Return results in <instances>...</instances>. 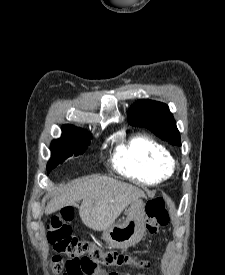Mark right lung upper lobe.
Listing matches in <instances>:
<instances>
[{
	"label": "right lung upper lobe",
	"instance_id": "1",
	"mask_svg": "<svg viewBox=\"0 0 225 275\" xmlns=\"http://www.w3.org/2000/svg\"><path fill=\"white\" fill-rule=\"evenodd\" d=\"M64 126H70V127H74L73 125H69V124H66V125H64Z\"/></svg>",
	"mask_w": 225,
	"mask_h": 275
}]
</instances>
